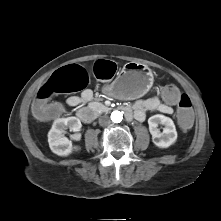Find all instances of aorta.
<instances>
[{"label": "aorta", "mask_w": 221, "mask_h": 221, "mask_svg": "<svg viewBox=\"0 0 221 221\" xmlns=\"http://www.w3.org/2000/svg\"><path fill=\"white\" fill-rule=\"evenodd\" d=\"M122 119H123L122 112L116 110V111H113L111 113V120H112V122L120 123L122 121Z\"/></svg>", "instance_id": "762f6f07"}]
</instances>
